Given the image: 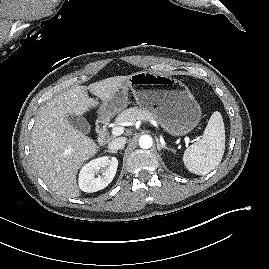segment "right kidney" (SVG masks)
Listing matches in <instances>:
<instances>
[{
  "mask_svg": "<svg viewBox=\"0 0 269 269\" xmlns=\"http://www.w3.org/2000/svg\"><path fill=\"white\" fill-rule=\"evenodd\" d=\"M118 167L116 157L103 156L85 164L79 173V188L87 193L104 189L113 180ZM101 171V175H97Z\"/></svg>",
  "mask_w": 269,
  "mask_h": 269,
  "instance_id": "right-kidney-1",
  "label": "right kidney"
}]
</instances>
